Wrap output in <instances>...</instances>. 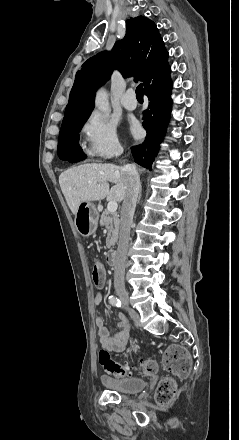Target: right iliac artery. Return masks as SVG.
<instances>
[{
    "label": "right iliac artery",
    "instance_id": "1",
    "mask_svg": "<svg viewBox=\"0 0 239 440\" xmlns=\"http://www.w3.org/2000/svg\"><path fill=\"white\" fill-rule=\"evenodd\" d=\"M109 303L113 306H116V307H121V304H122L120 299L115 296L109 297Z\"/></svg>",
    "mask_w": 239,
    "mask_h": 440
}]
</instances>
